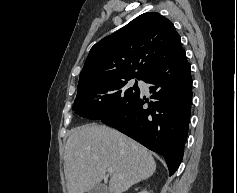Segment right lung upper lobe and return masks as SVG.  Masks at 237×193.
<instances>
[{"label": "right lung upper lobe", "mask_w": 237, "mask_h": 193, "mask_svg": "<svg viewBox=\"0 0 237 193\" xmlns=\"http://www.w3.org/2000/svg\"><path fill=\"white\" fill-rule=\"evenodd\" d=\"M174 25L157 12L141 14L90 50L77 91L125 78H144L155 66L181 50Z\"/></svg>", "instance_id": "cb5924a9"}]
</instances>
